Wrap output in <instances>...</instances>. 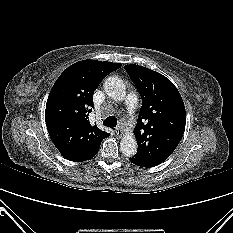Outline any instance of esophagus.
Returning <instances> with one entry per match:
<instances>
[{
	"instance_id": "obj_1",
	"label": "esophagus",
	"mask_w": 233,
	"mask_h": 233,
	"mask_svg": "<svg viewBox=\"0 0 233 233\" xmlns=\"http://www.w3.org/2000/svg\"><path fill=\"white\" fill-rule=\"evenodd\" d=\"M117 136L121 137L123 135V129L121 126H118L115 130Z\"/></svg>"
}]
</instances>
